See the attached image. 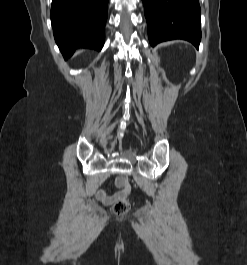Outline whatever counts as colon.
I'll use <instances>...</instances> for the list:
<instances>
[{
    "label": "colon",
    "mask_w": 247,
    "mask_h": 265,
    "mask_svg": "<svg viewBox=\"0 0 247 265\" xmlns=\"http://www.w3.org/2000/svg\"><path fill=\"white\" fill-rule=\"evenodd\" d=\"M119 181L121 183L123 191L126 194L130 193L131 185H130L129 181L124 179V178H120ZM129 208H130V204H129L128 200L126 199V197H123V198L118 199L114 203L113 212L117 216H123L129 211Z\"/></svg>",
    "instance_id": "obj_1"
}]
</instances>
